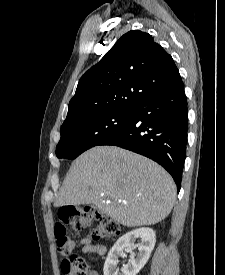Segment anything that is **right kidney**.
<instances>
[{
    "mask_svg": "<svg viewBox=\"0 0 225 275\" xmlns=\"http://www.w3.org/2000/svg\"><path fill=\"white\" fill-rule=\"evenodd\" d=\"M136 240L140 243L135 244ZM155 242V232L151 228L143 227L126 233L110 249L103 268L104 275H137L147 263ZM124 248H138L139 252L137 255L132 253L128 263L119 269L117 265Z\"/></svg>",
    "mask_w": 225,
    "mask_h": 275,
    "instance_id": "right-kidney-1",
    "label": "right kidney"
}]
</instances>
